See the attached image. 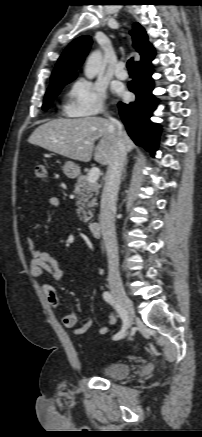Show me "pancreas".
Wrapping results in <instances>:
<instances>
[{"label":"pancreas","instance_id":"cf45deb5","mask_svg":"<svg viewBox=\"0 0 202 437\" xmlns=\"http://www.w3.org/2000/svg\"><path fill=\"white\" fill-rule=\"evenodd\" d=\"M99 189L100 185L97 182L89 183L86 175H82L77 179L75 184L77 215L85 223L93 217L90 208L97 205L96 196L99 194Z\"/></svg>","mask_w":202,"mask_h":437}]
</instances>
